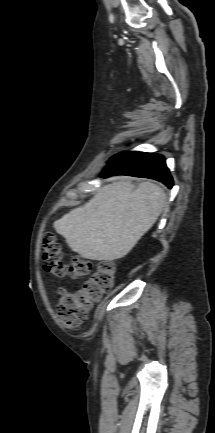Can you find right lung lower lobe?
<instances>
[{"label": "right lung lower lobe", "instance_id": "obj_1", "mask_svg": "<svg viewBox=\"0 0 215 433\" xmlns=\"http://www.w3.org/2000/svg\"><path fill=\"white\" fill-rule=\"evenodd\" d=\"M129 175L155 179L172 188L173 179L161 154L127 152L113 157L104 169L102 176Z\"/></svg>", "mask_w": 215, "mask_h": 433}]
</instances>
